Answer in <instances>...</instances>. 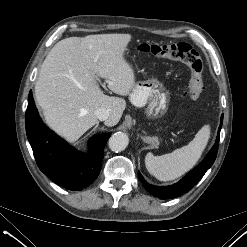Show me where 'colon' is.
<instances>
[{
  "label": "colon",
  "instance_id": "1",
  "mask_svg": "<svg viewBox=\"0 0 247 247\" xmlns=\"http://www.w3.org/2000/svg\"><path fill=\"white\" fill-rule=\"evenodd\" d=\"M138 50L158 58L179 60L188 65L191 75L185 96L191 101H196L200 97L203 92V63L198 52L191 45L143 43L138 46Z\"/></svg>",
  "mask_w": 247,
  "mask_h": 247
}]
</instances>
